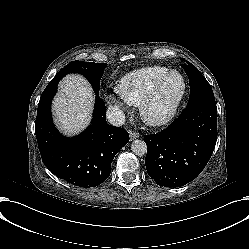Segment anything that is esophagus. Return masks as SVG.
<instances>
[{
    "mask_svg": "<svg viewBox=\"0 0 249 249\" xmlns=\"http://www.w3.org/2000/svg\"><path fill=\"white\" fill-rule=\"evenodd\" d=\"M129 136H130V140H134V139L140 137L139 133L134 132V131H132V130L129 131Z\"/></svg>",
    "mask_w": 249,
    "mask_h": 249,
    "instance_id": "esophagus-1",
    "label": "esophagus"
}]
</instances>
